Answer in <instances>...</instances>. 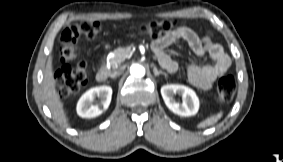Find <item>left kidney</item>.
Here are the masks:
<instances>
[{
    "label": "left kidney",
    "mask_w": 283,
    "mask_h": 162,
    "mask_svg": "<svg viewBox=\"0 0 283 162\" xmlns=\"http://www.w3.org/2000/svg\"><path fill=\"white\" fill-rule=\"evenodd\" d=\"M182 97V104L177 102L174 95ZM161 95L166 106L180 116H192L198 112L199 99L196 93L189 87L180 84H168L161 87Z\"/></svg>",
    "instance_id": "5707ae66"
}]
</instances>
